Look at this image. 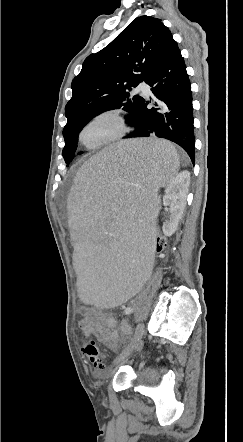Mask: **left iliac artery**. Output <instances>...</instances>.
Listing matches in <instances>:
<instances>
[{"mask_svg": "<svg viewBox=\"0 0 243 442\" xmlns=\"http://www.w3.org/2000/svg\"><path fill=\"white\" fill-rule=\"evenodd\" d=\"M132 312H133V308H132V307H128V308L125 309V314H126V315H129V314H131Z\"/></svg>", "mask_w": 243, "mask_h": 442, "instance_id": "obj_1", "label": "left iliac artery"}]
</instances>
